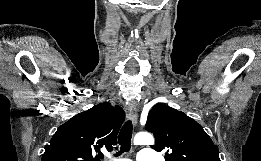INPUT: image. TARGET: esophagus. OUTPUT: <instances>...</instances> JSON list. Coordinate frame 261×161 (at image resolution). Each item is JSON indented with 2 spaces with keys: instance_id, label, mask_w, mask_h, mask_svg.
Wrapping results in <instances>:
<instances>
[{
  "instance_id": "1",
  "label": "esophagus",
  "mask_w": 261,
  "mask_h": 161,
  "mask_svg": "<svg viewBox=\"0 0 261 161\" xmlns=\"http://www.w3.org/2000/svg\"><path fill=\"white\" fill-rule=\"evenodd\" d=\"M137 105L135 103H130L127 108L128 116L132 120L133 124L136 125L138 121Z\"/></svg>"
}]
</instances>
